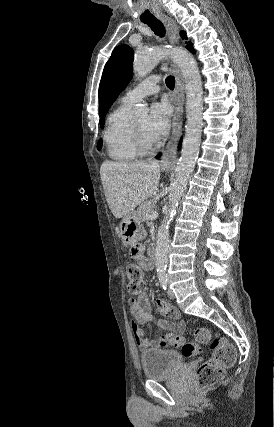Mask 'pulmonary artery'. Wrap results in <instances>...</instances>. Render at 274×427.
Here are the masks:
<instances>
[{
  "mask_svg": "<svg viewBox=\"0 0 274 427\" xmlns=\"http://www.w3.org/2000/svg\"><path fill=\"white\" fill-rule=\"evenodd\" d=\"M160 79L157 76H150L138 83L134 88L127 91L122 98V105L133 106L144 97L157 94L160 91Z\"/></svg>",
  "mask_w": 274,
  "mask_h": 427,
  "instance_id": "1",
  "label": "pulmonary artery"
}]
</instances>
